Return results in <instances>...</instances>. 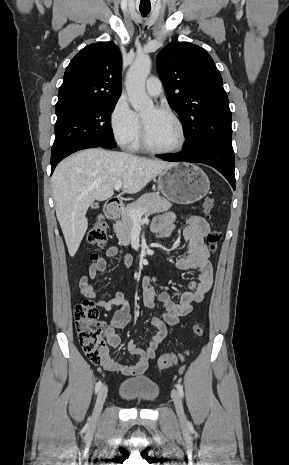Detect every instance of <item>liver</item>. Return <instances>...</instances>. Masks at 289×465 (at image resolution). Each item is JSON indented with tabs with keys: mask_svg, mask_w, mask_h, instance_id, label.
Returning <instances> with one entry per match:
<instances>
[{
	"mask_svg": "<svg viewBox=\"0 0 289 465\" xmlns=\"http://www.w3.org/2000/svg\"><path fill=\"white\" fill-rule=\"evenodd\" d=\"M173 164L101 148L82 150L61 161L52 177V189L70 256L76 254L86 233V213L95 200L112 197L119 181L123 192L137 193Z\"/></svg>",
	"mask_w": 289,
	"mask_h": 465,
	"instance_id": "6515ba94",
	"label": "liver"
}]
</instances>
